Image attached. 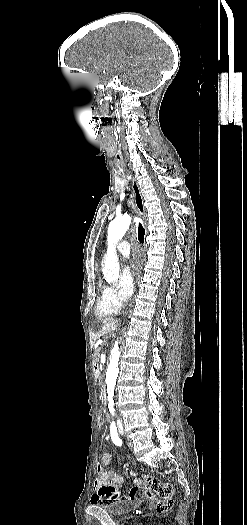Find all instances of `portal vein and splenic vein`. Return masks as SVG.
Returning <instances> with one entry per match:
<instances>
[{
	"label": "portal vein and splenic vein",
	"instance_id": "portal-vein-and-splenic-vein-1",
	"mask_svg": "<svg viewBox=\"0 0 247 525\" xmlns=\"http://www.w3.org/2000/svg\"><path fill=\"white\" fill-rule=\"evenodd\" d=\"M99 370H103V365H102V363H99Z\"/></svg>",
	"mask_w": 247,
	"mask_h": 525
}]
</instances>
